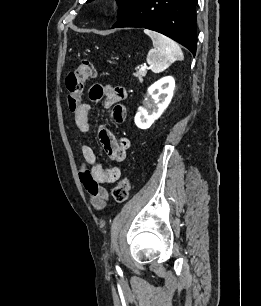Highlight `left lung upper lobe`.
<instances>
[{
    "instance_id": "obj_1",
    "label": "left lung upper lobe",
    "mask_w": 261,
    "mask_h": 306,
    "mask_svg": "<svg viewBox=\"0 0 261 306\" xmlns=\"http://www.w3.org/2000/svg\"><path fill=\"white\" fill-rule=\"evenodd\" d=\"M93 0H88L87 2H91ZM119 3V14H118V19H120L121 17H123L132 7V5L134 4V2L136 0H117Z\"/></svg>"
}]
</instances>
